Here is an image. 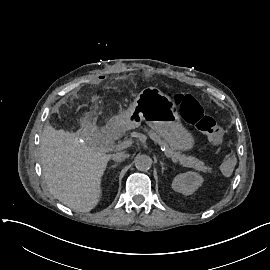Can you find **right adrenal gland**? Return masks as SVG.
Wrapping results in <instances>:
<instances>
[{"instance_id":"right-adrenal-gland-1","label":"right adrenal gland","mask_w":270,"mask_h":270,"mask_svg":"<svg viewBox=\"0 0 270 270\" xmlns=\"http://www.w3.org/2000/svg\"><path fill=\"white\" fill-rule=\"evenodd\" d=\"M116 166H117V164H114V165H112L111 167H112V168H115Z\"/></svg>"}]
</instances>
